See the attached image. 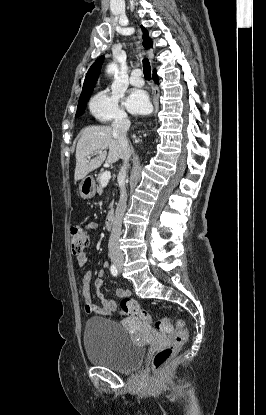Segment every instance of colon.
Listing matches in <instances>:
<instances>
[{"label": "colon", "instance_id": "5ec220e1", "mask_svg": "<svg viewBox=\"0 0 266 415\" xmlns=\"http://www.w3.org/2000/svg\"><path fill=\"white\" fill-rule=\"evenodd\" d=\"M70 246L73 254H81L88 246L89 234L87 230L79 225L70 229ZM120 312L124 315L133 316L144 322H152V317L146 309L142 308L135 300L126 297L119 304ZM156 328L162 333L172 335L171 342L159 349L152 358V369L155 372L163 370L178 353L183 344L187 341L188 331L183 320H172L163 317L156 322Z\"/></svg>", "mask_w": 266, "mask_h": 415}]
</instances>
